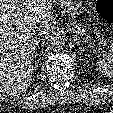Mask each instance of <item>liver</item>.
<instances>
[{"instance_id": "obj_1", "label": "liver", "mask_w": 113, "mask_h": 113, "mask_svg": "<svg viewBox=\"0 0 113 113\" xmlns=\"http://www.w3.org/2000/svg\"><path fill=\"white\" fill-rule=\"evenodd\" d=\"M52 0H0V89L25 92L32 80L37 29L51 26ZM26 14L20 16L17 7Z\"/></svg>"}]
</instances>
